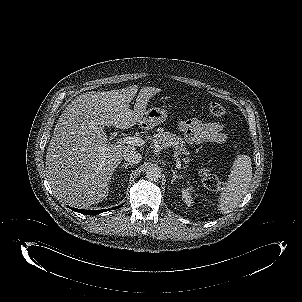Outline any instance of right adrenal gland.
Instances as JSON below:
<instances>
[{
  "label": "right adrenal gland",
  "instance_id": "obj_1",
  "mask_svg": "<svg viewBox=\"0 0 302 302\" xmlns=\"http://www.w3.org/2000/svg\"><path fill=\"white\" fill-rule=\"evenodd\" d=\"M130 165H132V164H130V163H124V164L120 165L119 168L128 169V166H130Z\"/></svg>",
  "mask_w": 302,
  "mask_h": 302
}]
</instances>
